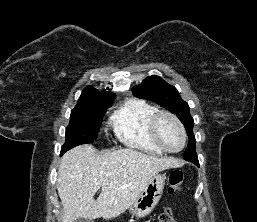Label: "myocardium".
Masks as SVG:
<instances>
[{"instance_id":"myocardium-1","label":"myocardium","mask_w":257,"mask_h":222,"mask_svg":"<svg viewBox=\"0 0 257 222\" xmlns=\"http://www.w3.org/2000/svg\"><path fill=\"white\" fill-rule=\"evenodd\" d=\"M170 118L171 120H173L176 125L179 127L181 134H182V138H183V142L182 145L179 149L176 150H172L169 149L168 147L165 146V144L162 142L159 133H158V126L159 123L161 121L162 118ZM150 133L152 136V139L154 140V142L164 151L167 153H178L180 151H182L184 149V147L186 146V142H187V132L186 129L183 125V123L181 122V120L173 113L169 112V111H158L152 118L151 123H150Z\"/></svg>"}]
</instances>
